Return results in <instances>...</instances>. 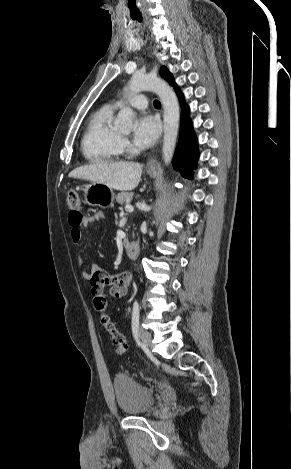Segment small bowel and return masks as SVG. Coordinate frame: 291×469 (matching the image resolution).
Listing matches in <instances>:
<instances>
[{"instance_id": "obj_1", "label": "small bowel", "mask_w": 291, "mask_h": 469, "mask_svg": "<svg viewBox=\"0 0 291 469\" xmlns=\"http://www.w3.org/2000/svg\"><path fill=\"white\" fill-rule=\"evenodd\" d=\"M103 217L102 213H96L91 216L78 218L74 215H69L68 223L70 226V236L73 243L78 244L82 239V229L87 228L91 223L100 221ZM78 263L85 264V259L82 254H78ZM85 277L89 280L93 300L97 293H103L106 285L110 286L109 294L114 298L123 297L131 280L129 272H122L116 275H110L104 269L96 264H89L84 273ZM107 302V301H106Z\"/></svg>"}]
</instances>
